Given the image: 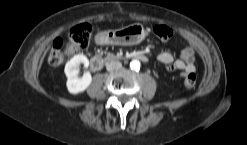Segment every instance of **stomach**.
<instances>
[{
  "instance_id": "1",
  "label": "stomach",
  "mask_w": 247,
  "mask_h": 145,
  "mask_svg": "<svg viewBox=\"0 0 247 145\" xmlns=\"http://www.w3.org/2000/svg\"><path fill=\"white\" fill-rule=\"evenodd\" d=\"M104 44L111 45H136L142 42L147 31L141 24H131L116 30L101 32Z\"/></svg>"
}]
</instances>
